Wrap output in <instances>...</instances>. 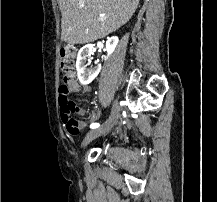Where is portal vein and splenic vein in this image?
<instances>
[{"instance_id": "obj_1", "label": "portal vein and splenic vein", "mask_w": 217, "mask_h": 202, "mask_svg": "<svg viewBox=\"0 0 217 202\" xmlns=\"http://www.w3.org/2000/svg\"><path fill=\"white\" fill-rule=\"evenodd\" d=\"M99 20H101V22H104V20H106V18H104V16H100Z\"/></svg>"}]
</instances>
